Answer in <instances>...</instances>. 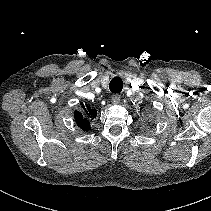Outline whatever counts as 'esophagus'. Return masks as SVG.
Here are the masks:
<instances>
[{"label":"esophagus","instance_id":"obj_1","mask_svg":"<svg viewBox=\"0 0 211 211\" xmlns=\"http://www.w3.org/2000/svg\"><path fill=\"white\" fill-rule=\"evenodd\" d=\"M111 100L114 104H117L119 103V101L121 100V96L119 94H114L112 97H111Z\"/></svg>","mask_w":211,"mask_h":211}]
</instances>
